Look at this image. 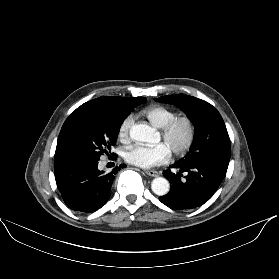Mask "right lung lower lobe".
<instances>
[{
  "mask_svg": "<svg viewBox=\"0 0 279 279\" xmlns=\"http://www.w3.org/2000/svg\"><path fill=\"white\" fill-rule=\"evenodd\" d=\"M98 169V160L64 161L54 165L57 187L66 205L75 211L92 213L110 197L114 175Z\"/></svg>",
  "mask_w": 279,
  "mask_h": 279,
  "instance_id": "obj_1",
  "label": "right lung lower lobe"
}]
</instances>
